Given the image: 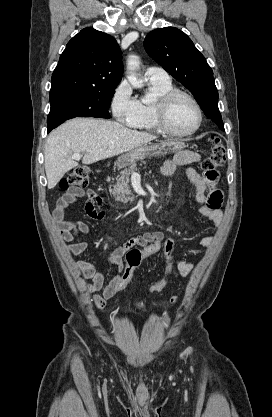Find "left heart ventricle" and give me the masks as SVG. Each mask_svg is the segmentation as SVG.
Masks as SVG:
<instances>
[{
  "label": "left heart ventricle",
  "mask_w": 272,
  "mask_h": 417,
  "mask_svg": "<svg viewBox=\"0 0 272 417\" xmlns=\"http://www.w3.org/2000/svg\"><path fill=\"white\" fill-rule=\"evenodd\" d=\"M197 112L194 105L184 97L176 99L168 114V123L178 132H187L197 123Z\"/></svg>",
  "instance_id": "b2bd125f"
}]
</instances>
